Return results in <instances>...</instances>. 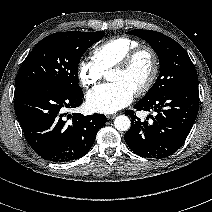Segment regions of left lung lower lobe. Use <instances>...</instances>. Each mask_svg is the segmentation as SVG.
<instances>
[{
	"instance_id": "1",
	"label": "left lung lower lobe",
	"mask_w": 212,
	"mask_h": 212,
	"mask_svg": "<svg viewBox=\"0 0 212 212\" xmlns=\"http://www.w3.org/2000/svg\"><path fill=\"white\" fill-rule=\"evenodd\" d=\"M137 110L157 112L153 122L141 121L133 110L131 128L125 134L129 148L141 157L161 159L176 152L187 138L199 108L198 80L190 81L134 105Z\"/></svg>"
}]
</instances>
